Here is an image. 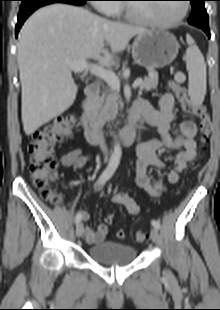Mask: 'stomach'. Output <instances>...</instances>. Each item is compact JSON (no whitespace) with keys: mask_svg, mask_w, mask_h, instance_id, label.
<instances>
[{"mask_svg":"<svg viewBox=\"0 0 220 310\" xmlns=\"http://www.w3.org/2000/svg\"><path fill=\"white\" fill-rule=\"evenodd\" d=\"M179 44L174 35L165 30H150L137 35L132 44L134 61L147 69L163 68L176 58Z\"/></svg>","mask_w":220,"mask_h":310,"instance_id":"stomach-1","label":"stomach"}]
</instances>
